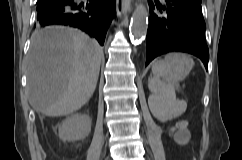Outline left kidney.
Listing matches in <instances>:
<instances>
[{
	"mask_svg": "<svg viewBox=\"0 0 242 160\" xmlns=\"http://www.w3.org/2000/svg\"><path fill=\"white\" fill-rule=\"evenodd\" d=\"M176 102H177L176 113L178 112L181 113L185 111L187 106L186 102L179 101V100H176ZM150 109L154 117L162 123L167 122L173 117V114L170 111H168L164 106H162L158 100L155 101L154 103H150Z\"/></svg>",
	"mask_w": 242,
	"mask_h": 160,
	"instance_id": "5707ae66",
	"label": "left kidney"
}]
</instances>
